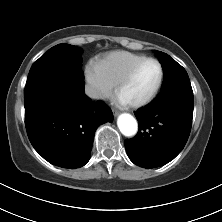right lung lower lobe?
<instances>
[{
  "instance_id": "1",
  "label": "right lung lower lobe",
  "mask_w": 222,
  "mask_h": 222,
  "mask_svg": "<svg viewBox=\"0 0 222 222\" xmlns=\"http://www.w3.org/2000/svg\"><path fill=\"white\" fill-rule=\"evenodd\" d=\"M111 109L92 102L84 87L73 102L42 99L25 104V125L35 150L53 165L74 169L90 159L97 127L111 122Z\"/></svg>"
}]
</instances>
